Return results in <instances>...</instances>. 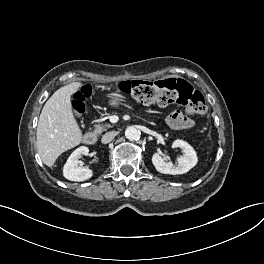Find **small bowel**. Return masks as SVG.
<instances>
[{"label": "small bowel", "instance_id": "obj_1", "mask_svg": "<svg viewBox=\"0 0 264 264\" xmlns=\"http://www.w3.org/2000/svg\"><path fill=\"white\" fill-rule=\"evenodd\" d=\"M167 123L174 129L186 130L194 126L193 120L186 117L180 111H174L167 116Z\"/></svg>", "mask_w": 264, "mask_h": 264}]
</instances>
